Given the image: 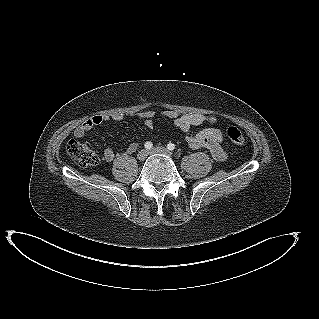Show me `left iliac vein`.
Here are the masks:
<instances>
[{"label": "left iliac vein", "instance_id": "4c4485c4", "mask_svg": "<svg viewBox=\"0 0 319 319\" xmlns=\"http://www.w3.org/2000/svg\"><path fill=\"white\" fill-rule=\"evenodd\" d=\"M150 154H164V155H167V156H172V153L164 148V147H154L152 148L150 151H149Z\"/></svg>", "mask_w": 319, "mask_h": 319}]
</instances>
